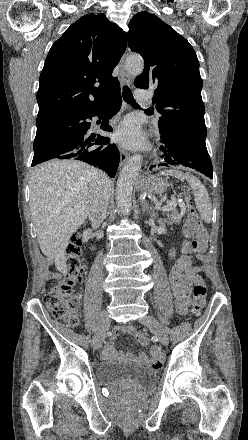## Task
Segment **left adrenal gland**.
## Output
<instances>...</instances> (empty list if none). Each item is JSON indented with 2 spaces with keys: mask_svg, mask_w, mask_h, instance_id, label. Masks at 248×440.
<instances>
[{
  "mask_svg": "<svg viewBox=\"0 0 248 440\" xmlns=\"http://www.w3.org/2000/svg\"><path fill=\"white\" fill-rule=\"evenodd\" d=\"M142 211L147 212L150 214L151 217H156V214L154 211H151V207L147 204L146 201H141Z\"/></svg>",
  "mask_w": 248,
  "mask_h": 440,
  "instance_id": "1",
  "label": "left adrenal gland"
}]
</instances>
